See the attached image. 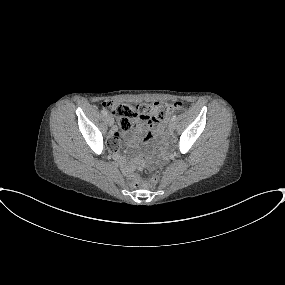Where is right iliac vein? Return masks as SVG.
<instances>
[{
    "label": "right iliac vein",
    "instance_id": "1",
    "mask_svg": "<svg viewBox=\"0 0 285 285\" xmlns=\"http://www.w3.org/2000/svg\"><path fill=\"white\" fill-rule=\"evenodd\" d=\"M107 123L110 125V126H113V124H114V119L111 117V116H107Z\"/></svg>",
    "mask_w": 285,
    "mask_h": 285
}]
</instances>
